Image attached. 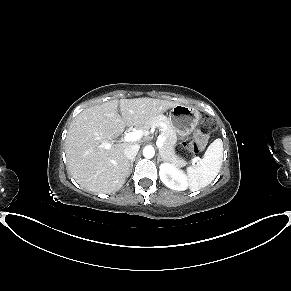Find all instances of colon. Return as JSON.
Listing matches in <instances>:
<instances>
[{"mask_svg": "<svg viewBox=\"0 0 291 291\" xmlns=\"http://www.w3.org/2000/svg\"><path fill=\"white\" fill-rule=\"evenodd\" d=\"M213 122L205 120L202 122L201 130L203 133L211 132L214 129ZM198 145L194 140H185L177 145L176 154L180 158H190L196 154Z\"/></svg>", "mask_w": 291, "mask_h": 291, "instance_id": "5ec220e1", "label": "colon"}]
</instances>
